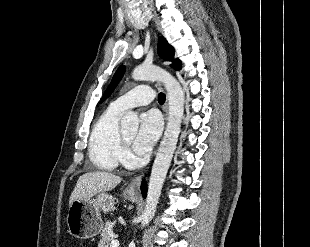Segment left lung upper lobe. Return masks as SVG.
Here are the masks:
<instances>
[{"instance_id": "left-lung-upper-lobe-1", "label": "left lung upper lobe", "mask_w": 310, "mask_h": 247, "mask_svg": "<svg viewBox=\"0 0 310 247\" xmlns=\"http://www.w3.org/2000/svg\"><path fill=\"white\" fill-rule=\"evenodd\" d=\"M158 55L164 59L165 61H173V64L171 65L173 68L179 70L181 66V62L179 59L174 60V49L171 45L168 44V42L163 38L160 37L158 41ZM125 72V66H121L114 74L113 79L111 81V84L109 88L106 90V92L103 95V99L101 102H103L110 93L114 90V88L117 86L119 81L122 79Z\"/></svg>"}]
</instances>
